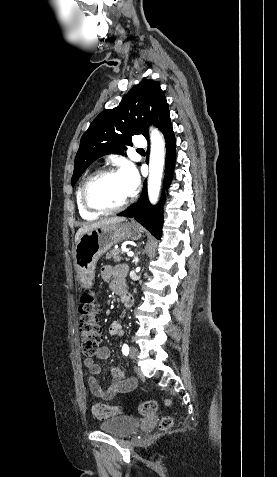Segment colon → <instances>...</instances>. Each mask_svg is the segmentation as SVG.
Listing matches in <instances>:
<instances>
[{
	"label": "colon",
	"mask_w": 277,
	"mask_h": 477,
	"mask_svg": "<svg viewBox=\"0 0 277 477\" xmlns=\"http://www.w3.org/2000/svg\"><path fill=\"white\" fill-rule=\"evenodd\" d=\"M98 305L93 294L85 293L82 295L79 305L80 313V337L82 351L84 355L91 357L99 348L102 340V331L97 323ZM170 404V401H166ZM158 404L154 400H148L141 403L139 411L142 415H152L157 411ZM92 413L98 419H106L108 417L121 413L118 407L97 403L92 406ZM173 425L171 417L161 419L159 427L161 430H167Z\"/></svg>",
	"instance_id": "obj_1"
}]
</instances>
